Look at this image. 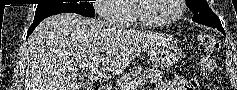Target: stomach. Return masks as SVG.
Listing matches in <instances>:
<instances>
[{
  "label": "stomach",
  "instance_id": "0dacf381",
  "mask_svg": "<svg viewBox=\"0 0 237 90\" xmlns=\"http://www.w3.org/2000/svg\"><path fill=\"white\" fill-rule=\"evenodd\" d=\"M149 55L156 66L170 67L175 64L181 55V51L175 46H155L149 51Z\"/></svg>",
  "mask_w": 237,
  "mask_h": 90
}]
</instances>
